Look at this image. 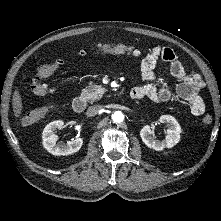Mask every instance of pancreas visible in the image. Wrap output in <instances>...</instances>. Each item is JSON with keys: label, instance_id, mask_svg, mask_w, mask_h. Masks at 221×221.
<instances>
[{"label": "pancreas", "instance_id": "pancreas-1", "mask_svg": "<svg viewBox=\"0 0 221 221\" xmlns=\"http://www.w3.org/2000/svg\"><path fill=\"white\" fill-rule=\"evenodd\" d=\"M105 91L106 89L103 88L102 86L91 84L82 90L81 96L87 102L93 103L97 100H100Z\"/></svg>", "mask_w": 221, "mask_h": 221}]
</instances>
